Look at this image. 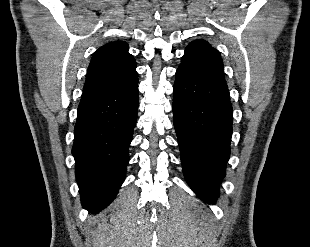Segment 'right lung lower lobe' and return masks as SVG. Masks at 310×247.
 <instances>
[{
    "instance_id": "98d812e1",
    "label": "right lung lower lobe",
    "mask_w": 310,
    "mask_h": 247,
    "mask_svg": "<svg viewBox=\"0 0 310 247\" xmlns=\"http://www.w3.org/2000/svg\"><path fill=\"white\" fill-rule=\"evenodd\" d=\"M137 82L82 94L72 154L81 202L89 212L106 207L125 179L137 119Z\"/></svg>"
}]
</instances>
